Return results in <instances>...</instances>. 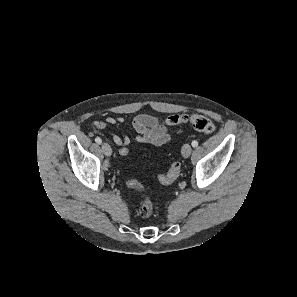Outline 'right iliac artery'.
Segmentation results:
<instances>
[{
	"label": "right iliac artery",
	"instance_id": "1",
	"mask_svg": "<svg viewBox=\"0 0 297 297\" xmlns=\"http://www.w3.org/2000/svg\"><path fill=\"white\" fill-rule=\"evenodd\" d=\"M95 142H96L97 144H101V143H102V140H101V138L96 137V138H95Z\"/></svg>",
	"mask_w": 297,
	"mask_h": 297
}]
</instances>
